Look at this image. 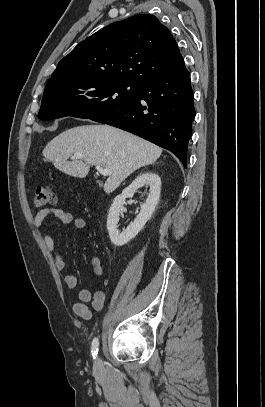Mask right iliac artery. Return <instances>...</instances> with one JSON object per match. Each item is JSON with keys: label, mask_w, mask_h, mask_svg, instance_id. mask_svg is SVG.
<instances>
[{"label": "right iliac artery", "mask_w": 265, "mask_h": 407, "mask_svg": "<svg viewBox=\"0 0 265 407\" xmlns=\"http://www.w3.org/2000/svg\"><path fill=\"white\" fill-rule=\"evenodd\" d=\"M98 346H99L98 338H94L92 341V351H91L92 355L94 356V359L98 353Z\"/></svg>", "instance_id": "obj_1"}]
</instances>
